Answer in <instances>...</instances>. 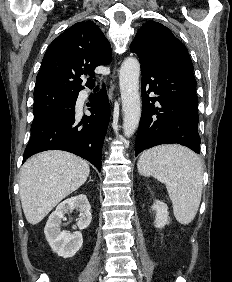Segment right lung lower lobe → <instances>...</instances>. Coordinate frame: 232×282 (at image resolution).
Listing matches in <instances>:
<instances>
[{"mask_svg":"<svg viewBox=\"0 0 232 282\" xmlns=\"http://www.w3.org/2000/svg\"><path fill=\"white\" fill-rule=\"evenodd\" d=\"M46 119L32 124L31 138L24 151V162L30 156L46 150H65L91 162L101 171V154L110 119V106L105 87L92 99L89 111L78 124L75 103ZM83 124L82 128L79 126Z\"/></svg>","mask_w":232,"mask_h":282,"instance_id":"98d812e1","label":"right lung lower lobe"}]
</instances>
